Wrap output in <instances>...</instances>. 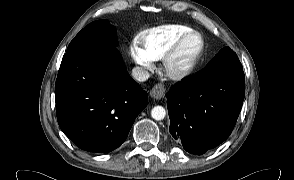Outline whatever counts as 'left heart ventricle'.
Listing matches in <instances>:
<instances>
[{"label":"left heart ventricle","mask_w":294,"mask_h":180,"mask_svg":"<svg viewBox=\"0 0 294 180\" xmlns=\"http://www.w3.org/2000/svg\"><path fill=\"white\" fill-rule=\"evenodd\" d=\"M200 46V41L198 37H193L189 39L180 49L178 55L172 62V68L179 69L186 66L191 58L198 51Z\"/></svg>","instance_id":"1"}]
</instances>
